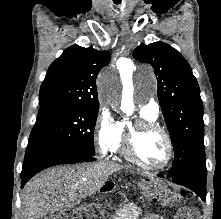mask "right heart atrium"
Wrapping results in <instances>:
<instances>
[{"instance_id":"right-heart-atrium-1","label":"right heart atrium","mask_w":221,"mask_h":219,"mask_svg":"<svg viewBox=\"0 0 221 219\" xmlns=\"http://www.w3.org/2000/svg\"><path fill=\"white\" fill-rule=\"evenodd\" d=\"M119 123L108 108L104 106L100 108L95 122L94 138L102 156H106L112 151L118 138Z\"/></svg>"}]
</instances>
